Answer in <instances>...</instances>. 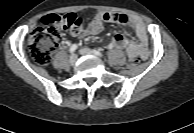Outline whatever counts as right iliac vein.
<instances>
[{"label": "right iliac vein", "mask_w": 194, "mask_h": 133, "mask_svg": "<svg viewBox=\"0 0 194 133\" xmlns=\"http://www.w3.org/2000/svg\"><path fill=\"white\" fill-rule=\"evenodd\" d=\"M76 62H77V55L76 54L71 55L70 58H69L70 65L73 66V65L76 64Z\"/></svg>", "instance_id": "right-iliac-vein-1"}]
</instances>
